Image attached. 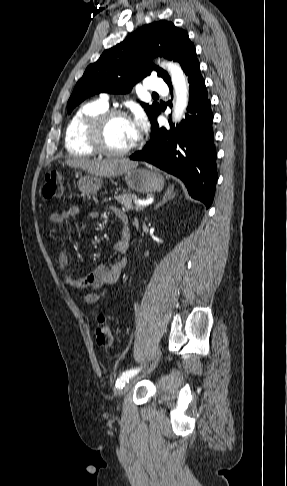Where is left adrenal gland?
<instances>
[{"mask_svg": "<svg viewBox=\"0 0 287 486\" xmlns=\"http://www.w3.org/2000/svg\"><path fill=\"white\" fill-rule=\"evenodd\" d=\"M174 187L173 186H169V188L167 189L165 195L163 196V199L154 207L155 210H157L160 206H162L163 204H165L167 201H169L170 199H173L175 194H174Z\"/></svg>", "mask_w": 287, "mask_h": 486, "instance_id": "a2214340", "label": "left adrenal gland"}]
</instances>
